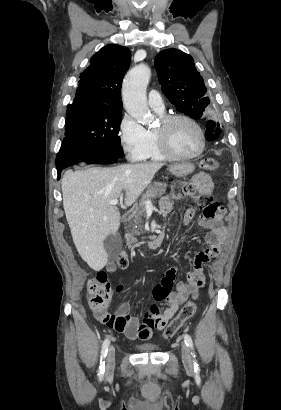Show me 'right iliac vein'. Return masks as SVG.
Listing matches in <instances>:
<instances>
[{
	"label": "right iliac vein",
	"mask_w": 281,
	"mask_h": 410,
	"mask_svg": "<svg viewBox=\"0 0 281 410\" xmlns=\"http://www.w3.org/2000/svg\"><path fill=\"white\" fill-rule=\"evenodd\" d=\"M115 368V348L110 346L106 357V375H111Z\"/></svg>",
	"instance_id": "obj_1"
}]
</instances>
